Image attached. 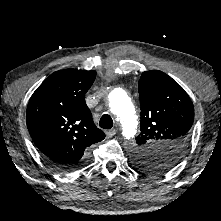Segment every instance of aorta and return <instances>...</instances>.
Returning a JSON list of instances; mask_svg holds the SVG:
<instances>
[{
    "label": "aorta",
    "instance_id": "1",
    "mask_svg": "<svg viewBox=\"0 0 221 221\" xmlns=\"http://www.w3.org/2000/svg\"><path fill=\"white\" fill-rule=\"evenodd\" d=\"M109 107L111 113L122 126V135L125 139H132L138 127L137 115L128 94L119 88L109 94Z\"/></svg>",
    "mask_w": 221,
    "mask_h": 221
}]
</instances>
